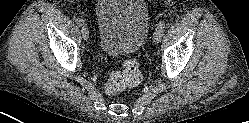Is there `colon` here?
Here are the masks:
<instances>
[{
    "mask_svg": "<svg viewBox=\"0 0 249 123\" xmlns=\"http://www.w3.org/2000/svg\"><path fill=\"white\" fill-rule=\"evenodd\" d=\"M141 80V73L135 59H126L122 70L113 72L104 84V91L115 95L128 86L137 85Z\"/></svg>",
    "mask_w": 249,
    "mask_h": 123,
    "instance_id": "obj_1",
    "label": "colon"
}]
</instances>
